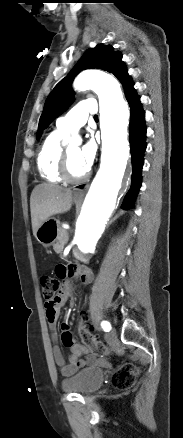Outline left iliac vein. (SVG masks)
Here are the masks:
<instances>
[{
	"label": "left iliac vein",
	"instance_id": "obj_1",
	"mask_svg": "<svg viewBox=\"0 0 183 438\" xmlns=\"http://www.w3.org/2000/svg\"><path fill=\"white\" fill-rule=\"evenodd\" d=\"M105 337L108 340V342L115 343L117 339L115 330H112L111 332L107 333Z\"/></svg>",
	"mask_w": 183,
	"mask_h": 438
}]
</instances>
